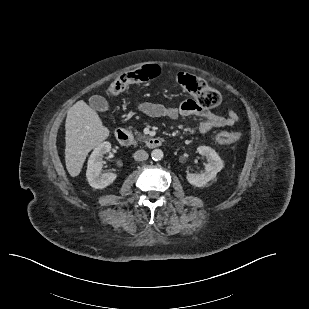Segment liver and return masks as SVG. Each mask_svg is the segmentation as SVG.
Masks as SVG:
<instances>
[{
	"mask_svg": "<svg viewBox=\"0 0 309 309\" xmlns=\"http://www.w3.org/2000/svg\"><path fill=\"white\" fill-rule=\"evenodd\" d=\"M65 163L72 177L80 174L88 153L108 138L109 129L103 126L97 112L83 100L67 111L65 122Z\"/></svg>",
	"mask_w": 309,
	"mask_h": 309,
	"instance_id": "1",
	"label": "liver"
}]
</instances>
